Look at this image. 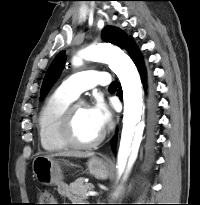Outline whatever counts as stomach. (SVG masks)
Wrapping results in <instances>:
<instances>
[{
  "instance_id": "obj_1",
  "label": "stomach",
  "mask_w": 200,
  "mask_h": 205,
  "mask_svg": "<svg viewBox=\"0 0 200 205\" xmlns=\"http://www.w3.org/2000/svg\"><path fill=\"white\" fill-rule=\"evenodd\" d=\"M89 172L99 179H106L112 166L99 157H92L88 163ZM33 173L43 185L59 184L62 179V169L58 160L49 156H37L32 163Z\"/></svg>"
}]
</instances>
